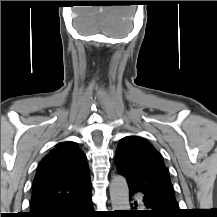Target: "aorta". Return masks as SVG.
<instances>
[{"label":"aorta","mask_w":217,"mask_h":217,"mask_svg":"<svg viewBox=\"0 0 217 217\" xmlns=\"http://www.w3.org/2000/svg\"><path fill=\"white\" fill-rule=\"evenodd\" d=\"M109 190L113 211L130 210L128 184L123 176H114L111 180Z\"/></svg>","instance_id":"1"}]
</instances>
